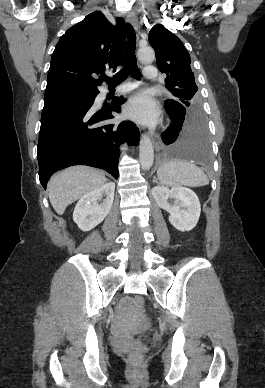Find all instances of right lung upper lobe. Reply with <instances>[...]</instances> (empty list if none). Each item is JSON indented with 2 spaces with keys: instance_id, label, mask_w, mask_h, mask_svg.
I'll use <instances>...</instances> for the list:
<instances>
[{
  "instance_id": "cb5924a9",
  "label": "right lung upper lobe",
  "mask_w": 265,
  "mask_h": 388,
  "mask_svg": "<svg viewBox=\"0 0 265 388\" xmlns=\"http://www.w3.org/2000/svg\"><path fill=\"white\" fill-rule=\"evenodd\" d=\"M124 21L113 26L101 11H95L61 36L52 54L45 99L96 95L106 69L116 71L123 60Z\"/></svg>"
}]
</instances>
